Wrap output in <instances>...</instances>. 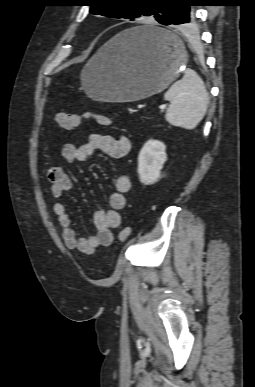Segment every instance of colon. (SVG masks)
I'll return each mask as SVG.
<instances>
[{
  "label": "colon",
  "mask_w": 255,
  "mask_h": 387,
  "mask_svg": "<svg viewBox=\"0 0 255 387\" xmlns=\"http://www.w3.org/2000/svg\"><path fill=\"white\" fill-rule=\"evenodd\" d=\"M86 119H93L99 125L105 127L111 126L113 124V120L110 117L91 111H87L82 114H74L60 111L55 114L56 123L60 127L69 130L78 127L81 122ZM130 234L131 228L129 226H125L119 232V240L122 242L126 241L130 237Z\"/></svg>",
  "instance_id": "1"
}]
</instances>
